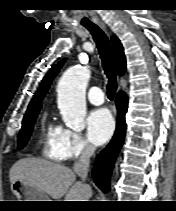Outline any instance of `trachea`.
<instances>
[{
  "mask_svg": "<svg viewBox=\"0 0 176 211\" xmlns=\"http://www.w3.org/2000/svg\"><path fill=\"white\" fill-rule=\"evenodd\" d=\"M86 28L92 34L93 39L97 45L100 58L102 60V66L105 75L108 78L107 96L110 100H113L115 92L117 90V80L110 41L106 34L98 26L88 25L86 26Z\"/></svg>",
  "mask_w": 176,
  "mask_h": 211,
  "instance_id": "3493384b",
  "label": "trachea"
}]
</instances>
